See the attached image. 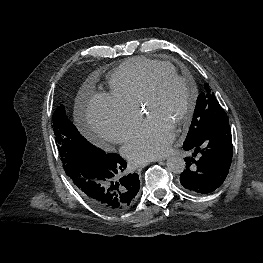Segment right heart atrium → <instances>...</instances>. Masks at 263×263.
<instances>
[{
	"label": "right heart atrium",
	"mask_w": 263,
	"mask_h": 263,
	"mask_svg": "<svg viewBox=\"0 0 263 263\" xmlns=\"http://www.w3.org/2000/svg\"><path fill=\"white\" fill-rule=\"evenodd\" d=\"M138 121L137 109L109 93L94 95L86 106V125L101 144L124 142Z\"/></svg>",
	"instance_id": "right-heart-atrium-1"
}]
</instances>
